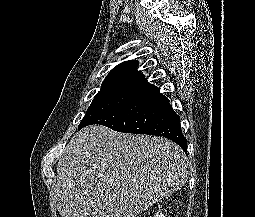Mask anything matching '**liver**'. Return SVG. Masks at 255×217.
Here are the masks:
<instances>
[{
    "label": "liver",
    "mask_w": 255,
    "mask_h": 217,
    "mask_svg": "<svg viewBox=\"0 0 255 217\" xmlns=\"http://www.w3.org/2000/svg\"><path fill=\"white\" fill-rule=\"evenodd\" d=\"M53 203L62 217H137L188 179V159L157 136L85 127L58 161Z\"/></svg>",
    "instance_id": "6515ba94"
}]
</instances>
